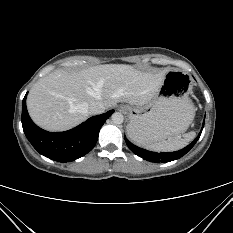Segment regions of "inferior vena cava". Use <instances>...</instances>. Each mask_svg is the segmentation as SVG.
Segmentation results:
<instances>
[{"label": "inferior vena cava", "instance_id": "1", "mask_svg": "<svg viewBox=\"0 0 233 233\" xmlns=\"http://www.w3.org/2000/svg\"><path fill=\"white\" fill-rule=\"evenodd\" d=\"M105 109L106 108L104 104L101 102H97V101L91 102L88 107L89 113L91 115L101 114L105 111Z\"/></svg>", "mask_w": 233, "mask_h": 233}]
</instances>
